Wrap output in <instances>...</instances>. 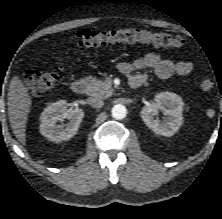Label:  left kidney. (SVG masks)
<instances>
[{"label":"left kidney","mask_w":222,"mask_h":219,"mask_svg":"<svg viewBox=\"0 0 222 219\" xmlns=\"http://www.w3.org/2000/svg\"><path fill=\"white\" fill-rule=\"evenodd\" d=\"M155 103L145 105L141 112V118L145 124L156 134L173 136L183 123V100L172 92H160L155 96ZM159 110H166L167 117L163 121L155 119Z\"/></svg>","instance_id":"5707ae66"}]
</instances>
